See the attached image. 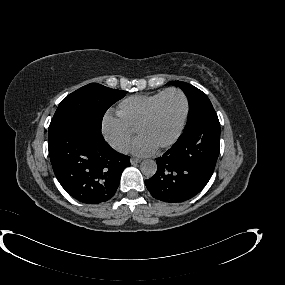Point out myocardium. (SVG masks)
<instances>
[{
    "instance_id": "1",
    "label": "myocardium",
    "mask_w": 285,
    "mask_h": 285,
    "mask_svg": "<svg viewBox=\"0 0 285 285\" xmlns=\"http://www.w3.org/2000/svg\"><path fill=\"white\" fill-rule=\"evenodd\" d=\"M170 93H178L182 96L184 103H185V109H184V114L181 120V123L178 127L177 132L175 133V135L172 137V139L170 141H168L167 143L157 147V151H163L166 150L170 147H172L181 137L186 123H187V119H188V115H189V110H190V103H189V99L187 97V95L185 94V92L179 88H170L165 90L160 97L155 101V103L152 105V107L150 108L147 116L145 117V119L141 122V124L139 125L138 129H137V133L138 135H140V132L142 131V129L148 125L150 123V121L153 119L157 108L159 107L161 101L164 99L165 96H167Z\"/></svg>"
}]
</instances>
